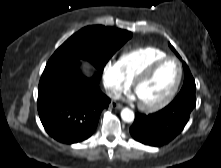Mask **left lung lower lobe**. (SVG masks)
I'll use <instances>...</instances> for the list:
<instances>
[{"mask_svg":"<svg viewBox=\"0 0 221 168\" xmlns=\"http://www.w3.org/2000/svg\"><path fill=\"white\" fill-rule=\"evenodd\" d=\"M195 106V89H181L162 110L149 115L137 113L130 134L145 145L157 147L167 144L184 129Z\"/></svg>","mask_w":221,"mask_h":168,"instance_id":"left-lung-lower-lobe-1","label":"left lung lower lobe"}]
</instances>
